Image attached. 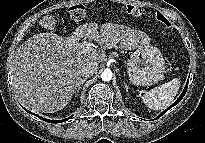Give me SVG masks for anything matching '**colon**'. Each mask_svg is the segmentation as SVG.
Masks as SVG:
<instances>
[{
  "mask_svg": "<svg viewBox=\"0 0 205 143\" xmlns=\"http://www.w3.org/2000/svg\"><path fill=\"white\" fill-rule=\"evenodd\" d=\"M126 11L129 15L133 17H141L143 15L149 14V10L137 5H127ZM69 17L72 20H81L85 16V7L82 4H74L68 8ZM156 19L165 25L170 27L171 23L162 13L157 12L155 15ZM40 26L45 30H53L56 27V18L52 14H46L40 20Z\"/></svg>",
  "mask_w": 205,
  "mask_h": 143,
  "instance_id": "obj_1",
  "label": "colon"
}]
</instances>
